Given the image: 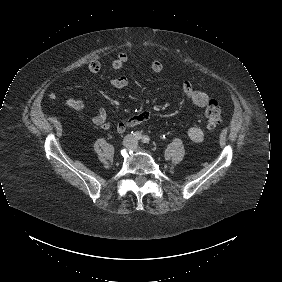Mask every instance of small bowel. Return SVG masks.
I'll return each instance as SVG.
<instances>
[{
  "instance_id": "small-bowel-1",
  "label": "small bowel",
  "mask_w": 282,
  "mask_h": 282,
  "mask_svg": "<svg viewBox=\"0 0 282 282\" xmlns=\"http://www.w3.org/2000/svg\"><path fill=\"white\" fill-rule=\"evenodd\" d=\"M128 54L126 52H120L118 56L112 61L111 69L113 72L118 73L124 65L128 62ZM150 68L155 73H160L163 70V63L158 60H152ZM88 70L91 73H97L101 70V63L99 60H91L88 64ZM128 84V78L125 75H116L111 81V85L116 88L125 87ZM181 88L186 98L193 104L199 107H205L209 101V96L205 92L196 90L193 84L189 80H184L181 83ZM49 98L54 100L58 97L57 91H51L48 94ZM67 107L75 111H82L85 108V102L77 98H67L65 101ZM152 118L151 112L148 110L136 113L123 121H109L108 113L105 107L100 106L97 109L95 115L91 117V122L104 130L113 129L118 133H123L128 128L143 124L150 121ZM187 135L190 140L195 143H200L204 139V132L199 127H189L187 129Z\"/></svg>"
}]
</instances>
